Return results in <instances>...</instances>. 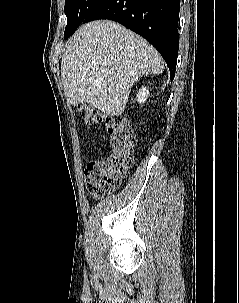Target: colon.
I'll list each match as a JSON object with an SVG mask.
<instances>
[{
  "label": "colon",
  "mask_w": 239,
  "mask_h": 303,
  "mask_svg": "<svg viewBox=\"0 0 239 303\" xmlns=\"http://www.w3.org/2000/svg\"><path fill=\"white\" fill-rule=\"evenodd\" d=\"M88 123H98L102 117L93 109L83 113ZM109 134L110 154L100 160L88 163L85 170V184L88 193L96 199L114 192L127 176L133 165L135 135L125 120H106Z\"/></svg>",
  "instance_id": "colon-1"
}]
</instances>
